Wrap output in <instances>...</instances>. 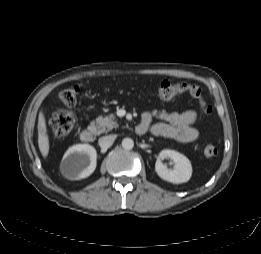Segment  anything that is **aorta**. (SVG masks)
Listing matches in <instances>:
<instances>
[{
  "mask_svg": "<svg viewBox=\"0 0 261 254\" xmlns=\"http://www.w3.org/2000/svg\"><path fill=\"white\" fill-rule=\"evenodd\" d=\"M122 147L125 150H131L134 147V141L131 138H124L122 140Z\"/></svg>",
  "mask_w": 261,
  "mask_h": 254,
  "instance_id": "obj_1",
  "label": "aorta"
}]
</instances>
